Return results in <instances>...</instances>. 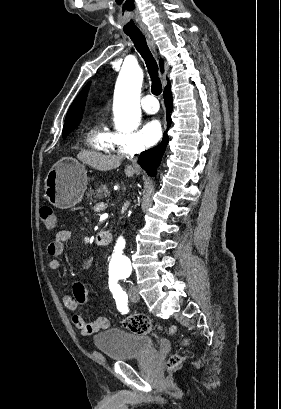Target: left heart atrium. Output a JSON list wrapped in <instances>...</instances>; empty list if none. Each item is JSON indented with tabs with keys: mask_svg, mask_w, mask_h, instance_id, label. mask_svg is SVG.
<instances>
[{
	"mask_svg": "<svg viewBox=\"0 0 281 409\" xmlns=\"http://www.w3.org/2000/svg\"><path fill=\"white\" fill-rule=\"evenodd\" d=\"M161 135L162 125L161 122L156 118H152L151 120H149L142 131L143 142L148 146L157 143L161 138Z\"/></svg>",
	"mask_w": 281,
	"mask_h": 409,
	"instance_id": "1",
	"label": "left heart atrium"
}]
</instances>
